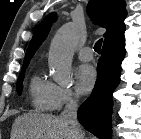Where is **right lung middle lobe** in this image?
<instances>
[{
	"mask_svg": "<svg viewBox=\"0 0 141 139\" xmlns=\"http://www.w3.org/2000/svg\"><path fill=\"white\" fill-rule=\"evenodd\" d=\"M27 66H22V71L19 74L18 81H17V93L20 95L22 92L23 87V79H24V73Z\"/></svg>",
	"mask_w": 141,
	"mask_h": 139,
	"instance_id": "dd1d6c3e",
	"label": "right lung middle lobe"
}]
</instances>
